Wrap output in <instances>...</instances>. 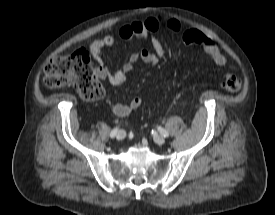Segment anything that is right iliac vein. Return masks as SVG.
<instances>
[{"instance_id": "obj_1", "label": "right iliac vein", "mask_w": 275, "mask_h": 215, "mask_svg": "<svg viewBox=\"0 0 275 215\" xmlns=\"http://www.w3.org/2000/svg\"><path fill=\"white\" fill-rule=\"evenodd\" d=\"M126 137V132L124 130H120L117 133V140H123Z\"/></svg>"}]
</instances>
